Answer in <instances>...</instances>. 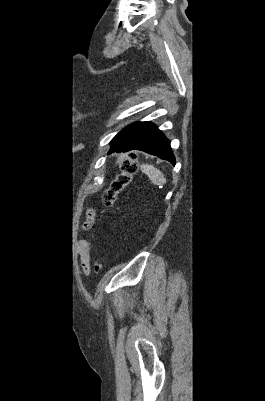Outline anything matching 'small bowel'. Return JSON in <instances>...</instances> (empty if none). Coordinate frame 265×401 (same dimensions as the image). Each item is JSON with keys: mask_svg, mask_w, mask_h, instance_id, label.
Returning a JSON list of instances; mask_svg holds the SVG:
<instances>
[{"mask_svg": "<svg viewBox=\"0 0 265 401\" xmlns=\"http://www.w3.org/2000/svg\"><path fill=\"white\" fill-rule=\"evenodd\" d=\"M95 211L93 209H88L86 212V222L84 223V228L88 229L94 222ZM79 254L82 270L88 273L90 270V258H91V246L88 241H82L79 245Z\"/></svg>", "mask_w": 265, "mask_h": 401, "instance_id": "obj_1", "label": "small bowel"}]
</instances>
